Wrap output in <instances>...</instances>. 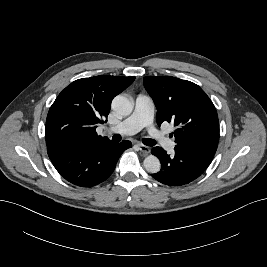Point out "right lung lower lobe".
<instances>
[{
  "label": "right lung lower lobe",
  "instance_id": "right-lung-lower-lobe-1",
  "mask_svg": "<svg viewBox=\"0 0 267 267\" xmlns=\"http://www.w3.org/2000/svg\"><path fill=\"white\" fill-rule=\"evenodd\" d=\"M131 142H107L72 149L48 150L56 170L70 183L92 187L105 181L114 171L121 154Z\"/></svg>",
  "mask_w": 267,
  "mask_h": 267
}]
</instances>
